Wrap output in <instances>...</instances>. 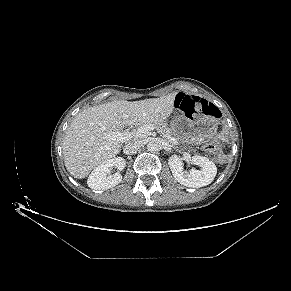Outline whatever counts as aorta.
<instances>
[{
  "instance_id": "762f6f07",
  "label": "aorta",
  "mask_w": 291,
  "mask_h": 291,
  "mask_svg": "<svg viewBox=\"0 0 291 291\" xmlns=\"http://www.w3.org/2000/svg\"><path fill=\"white\" fill-rule=\"evenodd\" d=\"M147 150L149 152H157L159 150V145L155 141H151L147 144Z\"/></svg>"
}]
</instances>
